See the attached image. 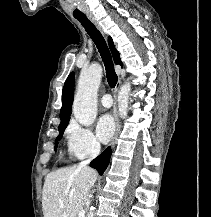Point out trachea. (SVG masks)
I'll return each mask as SVG.
<instances>
[{
	"label": "trachea",
	"instance_id": "obj_1",
	"mask_svg": "<svg viewBox=\"0 0 211 217\" xmlns=\"http://www.w3.org/2000/svg\"><path fill=\"white\" fill-rule=\"evenodd\" d=\"M77 20L85 28L86 32L90 35L91 39L94 41L96 47L98 48V51L105 65L107 82L109 86L115 87L118 77L115 72L112 56L105 42V39L103 38L100 31L86 16L77 18Z\"/></svg>",
	"mask_w": 211,
	"mask_h": 217
}]
</instances>
